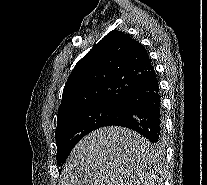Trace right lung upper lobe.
<instances>
[{
	"instance_id": "cb5924a9",
	"label": "right lung upper lobe",
	"mask_w": 207,
	"mask_h": 185,
	"mask_svg": "<svg viewBox=\"0 0 207 185\" xmlns=\"http://www.w3.org/2000/svg\"><path fill=\"white\" fill-rule=\"evenodd\" d=\"M155 79L145 48L113 30L75 65L63 89L57 121L102 104L122 106Z\"/></svg>"
}]
</instances>
